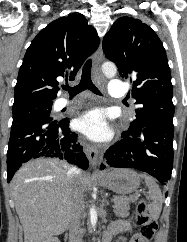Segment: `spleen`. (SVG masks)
<instances>
[{"label": "spleen", "instance_id": "spleen-1", "mask_svg": "<svg viewBox=\"0 0 187 242\" xmlns=\"http://www.w3.org/2000/svg\"><path fill=\"white\" fill-rule=\"evenodd\" d=\"M140 176L145 180L148 187V194L151 198V202L149 203V213L154 220H157L160 216L163 204L161 189L152 177L145 174H141Z\"/></svg>", "mask_w": 187, "mask_h": 242}]
</instances>
